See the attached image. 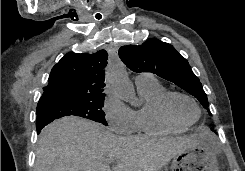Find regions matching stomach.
<instances>
[{"label":"stomach","instance_id":"stomach-1","mask_svg":"<svg viewBox=\"0 0 245 171\" xmlns=\"http://www.w3.org/2000/svg\"><path fill=\"white\" fill-rule=\"evenodd\" d=\"M172 171H219L213 137L203 135L199 143L173 157Z\"/></svg>","mask_w":245,"mask_h":171}]
</instances>
